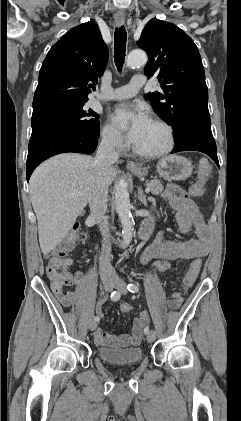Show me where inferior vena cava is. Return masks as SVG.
Listing matches in <instances>:
<instances>
[{"label":"inferior vena cava","mask_w":241,"mask_h":421,"mask_svg":"<svg viewBox=\"0 0 241 421\" xmlns=\"http://www.w3.org/2000/svg\"><path fill=\"white\" fill-rule=\"evenodd\" d=\"M119 155L115 149V140L112 138H103L96 153L95 165L98 170L99 180L89 200L90 217L95 220L100 227L104 237L102 251L100 256L99 268L101 278L113 277L114 271L111 267V245L109 242L108 223L104 219L107 210L108 185L105 179L106 171L118 161Z\"/></svg>","instance_id":"inferior-vena-cava-1"}]
</instances>
